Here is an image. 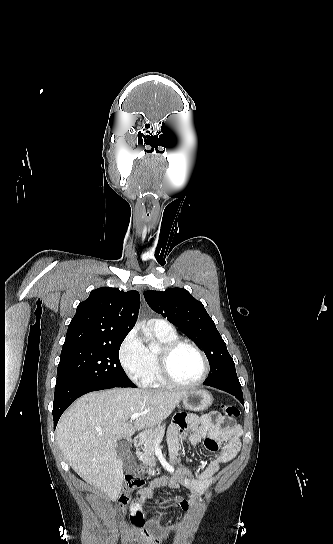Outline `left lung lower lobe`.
<instances>
[{
	"label": "left lung lower lobe",
	"instance_id": "1",
	"mask_svg": "<svg viewBox=\"0 0 333 544\" xmlns=\"http://www.w3.org/2000/svg\"><path fill=\"white\" fill-rule=\"evenodd\" d=\"M205 385L230 393L231 395L235 396L244 405V400H243V395H242V390L240 385L232 384V383H218V384H205Z\"/></svg>",
	"mask_w": 333,
	"mask_h": 544
}]
</instances>
